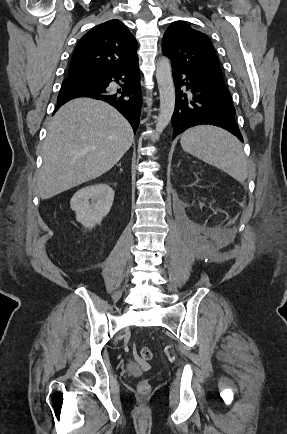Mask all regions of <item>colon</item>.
Wrapping results in <instances>:
<instances>
[{
    "instance_id": "obj_1",
    "label": "colon",
    "mask_w": 287,
    "mask_h": 434,
    "mask_svg": "<svg viewBox=\"0 0 287 434\" xmlns=\"http://www.w3.org/2000/svg\"><path fill=\"white\" fill-rule=\"evenodd\" d=\"M152 351L149 347H142L137 351V358L141 361H150L152 359ZM138 392L145 396L150 392V384L148 380H142L138 384Z\"/></svg>"
}]
</instances>
